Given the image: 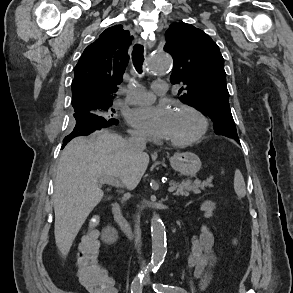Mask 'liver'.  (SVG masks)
Here are the masks:
<instances>
[{
	"mask_svg": "<svg viewBox=\"0 0 293 293\" xmlns=\"http://www.w3.org/2000/svg\"><path fill=\"white\" fill-rule=\"evenodd\" d=\"M149 164L146 153H135L121 136L106 130L77 137L63 149L54 184V234L67 255L90 212L103 197L100 176L139 183ZM109 191V189H108Z\"/></svg>",
	"mask_w": 293,
	"mask_h": 293,
	"instance_id": "obj_1",
	"label": "liver"
}]
</instances>
